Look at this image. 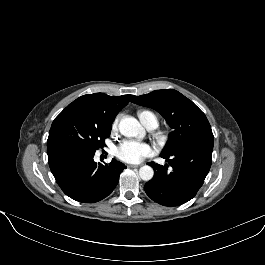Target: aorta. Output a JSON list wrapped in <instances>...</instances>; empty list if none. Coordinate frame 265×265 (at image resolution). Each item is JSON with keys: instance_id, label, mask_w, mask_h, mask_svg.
Segmentation results:
<instances>
[{"instance_id": "aorta-1", "label": "aorta", "mask_w": 265, "mask_h": 265, "mask_svg": "<svg viewBox=\"0 0 265 265\" xmlns=\"http://www.w3.org/2000/svg\"><path fill=\"white\" fill-rule=\"evenodd\" d=\"M120 133L126 137H139L142 138L145 134L143 126L137 119L131 116L123 117L119 122ZM153 168L145 165L139 169V176L144 181H149L153 178Z\"/></svg>"}]
</instances>
